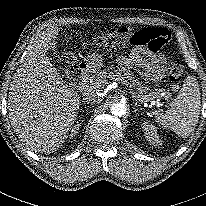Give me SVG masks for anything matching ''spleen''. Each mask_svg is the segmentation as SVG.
Wrapping results in <instances>:
<instances>
[{
  "mask_svg": "<svg viewBox=\"0 0 206 206\" xmlns=\"http://www.w3.org/2000/svg\"><path fill=\"white\" fill-rule=\"evenodd\" d=\"M201 93L197 80L188 76L165 113L156 114V122L181 137L189 136L199 120Z\"/></svg>",
  "mask_w": 206,
  "mask_h": 206,
  "instance_id": "3e777b00",
  "label": "spleen"
}]
</instances>
